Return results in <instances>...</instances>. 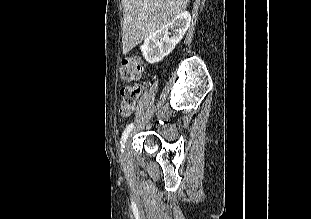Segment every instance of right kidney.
<instances>
[{
  "instance_id": "1",
  "label": "right kidney",
  "mask_w": 311,
  "mask_h": 219,
  "mask_svg": "<svg viewBox=\"0 0 311 219\" xmlns=\"http://www.w3.org/2000/svg\"><path fill=\"white\" fill-rule=\"evenodd\" d=\"M191 22L189 12H182L165 26L149 35L141 46L143 57L150 64L158 63L175 48L183 38ZM169 29L172 36L169 37Z\"/></svg>"
}]
</instances>
